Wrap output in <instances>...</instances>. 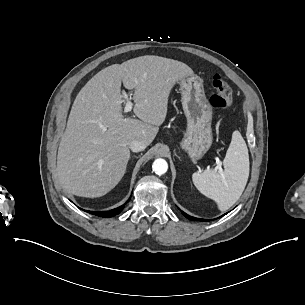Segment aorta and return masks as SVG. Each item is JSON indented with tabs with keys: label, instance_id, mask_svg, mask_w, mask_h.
<instances>
[{
	"label": "aorta",
	"instance_id": "obj_1",
	"mask_svg": "<svg viewBox=\"0 0 305 305\" xmlns=\"http://www.w3.org/2000/svg\"><path fill=\"white\" fill-rule=\"evenodd\" d=\"M152 169L156 174L162 175L167 172L168 164L166 160L159 158L153 162Z\"/></svg>",
	"mask_w": 305,
	"mask_h": 305
}]
</instances>
